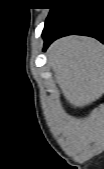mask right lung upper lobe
<instances>
[{"instance_id": "obj_1", "label": "right lung upper lobe", "mask_w": 104, "mask_h": 169, "mask_svg": "<svg viewBox=\"0 0 104 169\" xmlns=\"http://www.w3.org/2000/svg\"><path fill=\"white\" fill-rule=\"evenodd\" d=\"M53 1H59V0H53ZM71 1H73V0H71Z\"/></svg>"}]
</instances>
